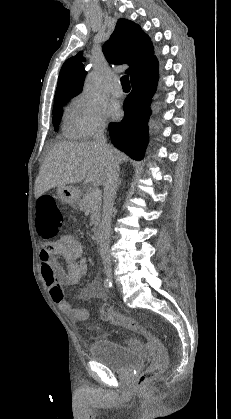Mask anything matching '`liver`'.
<instances>
[{
	"instance_id": "6515ba94",
	"label": "liver",
	"mask_w": 231,
	"mask_h": 419,
	"mask_svg": "<svg viewBox=\"0 0 231 419\" xmlns=\"http://www.w3.org/2000/svg\"><path fill=\"white\" fill-rule=\"evenodd\" d=\"M115 160L127 162L128 157L108 145ZM109 167V159L94 142H61L48 152L35 180L36 199L51 188H59L81 181L103 185Z\"/></svg>"
}]
</instances>
